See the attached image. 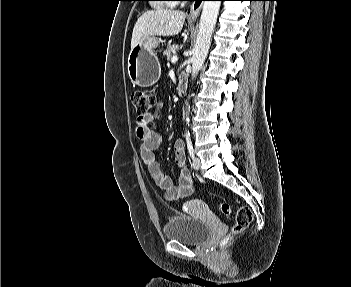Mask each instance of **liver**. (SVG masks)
<instances>
[{"instance_id": "1", "label": "liver", "mask_w": 351, "mask_h": 287, "mask_svg": "<svg viewBox=\"0 0 351 287\" xmlns=\"http://www.w3.org/2000/svg\"><path fill=\"white\" fill-rule=\"evenodd\" d=\"M185 18V13L170 9H158L143 13L133 28L131 49L140 40L150 36L177 35L182 30Z\"/></svg>"}]
</instances>
